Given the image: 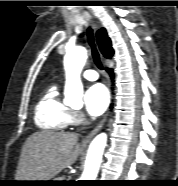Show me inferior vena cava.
<instances>
[{
  "instance_id": "inferior-vena-cava-1",
  "label": "inferior vena cava",
  "mask_w": 178,
  "mask_h": 186,
  "mask_svg": "<svg viewBox=\"0 0 178 186\" xmlns=\"http://www.w3.org/2000/svg\"><path fill=\"white\" fill-rule=\"evenodd\" d=\"M90 122L89 121H85L84 125H89Z\"/></svg>"
}]
</instances>
